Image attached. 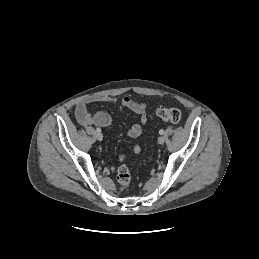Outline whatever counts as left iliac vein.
I'll use <instances>...</instances> for the list:
<instances>
[{
  "instance_id": "left-iliac-vein-1",
  "label": "left iliac vein",
  "mask_w": 259,
  "mask_h": 259,
  "mask_svg": "<svg viewBox=\"0 0 259 259\" xmlns=\"http://www.w3.org/2000/svg\"><path fill=\"white\" fill-rule=\"evenodd\" d=\"M164 142H165V138L163 136H160L158 138V143L162 145V144H164Z\"/></svg>"
}]
</instances>
